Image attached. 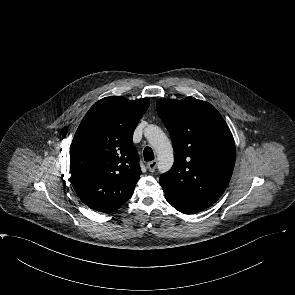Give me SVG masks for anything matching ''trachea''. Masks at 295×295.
<instances>
[{
	"label": "trachea",
	"instance_id": "trachea-1",
	"mask_svg": "<svg viewBox=\"0 0 295 295\" xmlns=\"http://www.w3.org/2000/svg\"><path fill=\"white\" fill-rule=\"evenodd\" d=\"M144 160L145 161H152L154 160V153L150 147H146L143 151Z\"/></svg>",
	"mask_w": 295,
	"mask_h": 295
}]
</instances>
